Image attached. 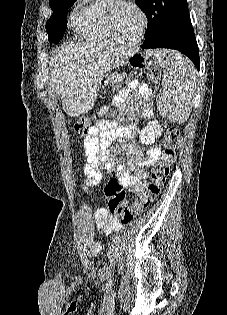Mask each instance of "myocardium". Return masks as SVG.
Here are the masks:
<instances>
[{
  "label": "myocardium",
  "instance_id": "obj_1",
  "mask_svg": "<svg viewBox=\"0 0 227 315\" xmlns=\"http://www.w3.org/2000/svg\"><path fill=\"white\" fill-rule=\"evenodd\" d=\"M121 5H129L132 8H134L138 12L142 20L140 32L137 38L130 42L120 41L117 38L115 29H114V17H115L117 9ZM104 23H105L106 32L108 36L110 37L111 42L116 43L118 45L126 46V47H134L140 44L141 41L143 40L147 27H148L149 19L146 12L134 0H110V2L107 4L106 9H105Z\"/></svg>",
  "mask_w": 227,
  "mask_h": 315
}]
</instances>
